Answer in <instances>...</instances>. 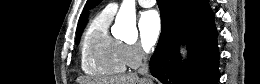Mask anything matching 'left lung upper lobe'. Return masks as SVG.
<instances>
[{"instance_id": "left-lung-upper-lobe-1", "label": "left lung upper lobe", "mask_w": 260, "mask_h": 84, "mask_svg": "<svg viewBox=\"0 0 260 84\" xmlns=\"http://www.w3.org/2000/svg\"><path fill=\"white\" fill-rule=\"evenodd\" d=\"M101 0H88L86 3V8L94 7L95 5L99 4Z\"/></svg>"}]
</instances>
